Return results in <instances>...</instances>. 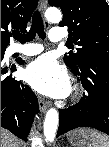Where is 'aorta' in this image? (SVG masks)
Masks as SVG:
<instances>
[{
    "mask_svg": "<svg viewBox=\"0 0 109 147\" xmlns=\"http://www.w3.org/2000/svg\"><path fill=\"white\" fill-rule=\"evenodd\" d=\"M45 17L50 22H60L62 19L61 11L56 7H49L45 11ZM59 115L55 108H50L45 116L44 121V135L46 141L53 142L56 136L58 127Z\"/></svg>",
    "mask_w": 109,
    "mask_h": 147,
    "instance_id": "762f6f07",
    "label": "aorta"
}]
</instances>
